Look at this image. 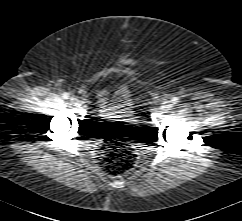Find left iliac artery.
<instances>
[{"instance_id":"1","label":"left iliac artery","mask_w":242,"mask_h":221,"mask_svg":"<svg viewBox=\"0 0 242 221\" xmlns=\"http://www.w3.org/2000/svg\"><path fill=\"white\" fill-rule=\"evenodd\" d=\"M179 102V99L177 98V97H174L173 99H172V103L173 104H177Z\"/></svg>"}]
</instances>
